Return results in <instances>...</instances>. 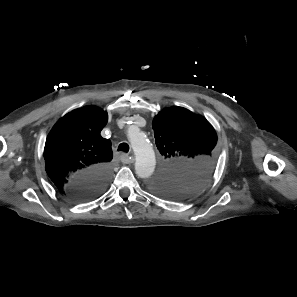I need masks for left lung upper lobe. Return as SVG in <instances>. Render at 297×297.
Here are the masks:
<instances>
[{
  "mask_svg": "<svg viewBox=\"0 0 297 297\" xmlns=\"http://www.w3.org/2000/svg\"><path fill=\"white\" fill-rule=\"evenodd\" d=\"M162 165L150 188L172 200L198 192L210 178L216 156L217 135L203 117L181 107L162 110L152 124Z\"/></svg>",
  "mask_w": 297,
  "mask_h": 297,
  "instance_id": "1",
  "label": "left lung upper lobe"
}]
</instances>
